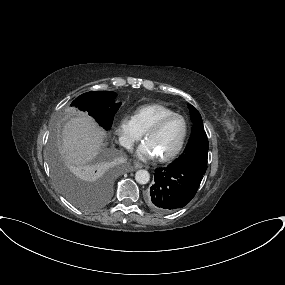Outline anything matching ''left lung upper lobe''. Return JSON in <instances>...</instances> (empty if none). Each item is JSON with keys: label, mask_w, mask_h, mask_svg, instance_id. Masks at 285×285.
I'll list each match as a JSON object with an SVG mask.
<instances>
[{"label": "left lung upper lobe", "mask_w": 285, "mask_h": 285, "mask_svg": "<svg viewBox=\"0 0 285 285\" xmlns=\"http://www.w3.org/2000/svg\"><path fill=\"white\" fill-rule=\"evenodd\" d=\"M190 109L191 120L194 123L191 137L184 152L171 164L176 167H187L205 174L207 169L208 138L204 131L200 113L192 105Z\"/></svg>", "instance_id": "obj_1"}]
</instances>
